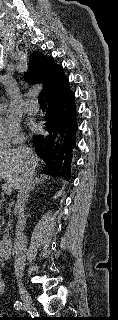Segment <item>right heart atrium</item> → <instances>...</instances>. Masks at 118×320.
Instances as JSON below:
<instances>
[{
    "label": "right heart atrium",
    "instance_id": "1",
    "mask_svg": "<svg viewBox=\"0 0 118 320\" xmlns=\"http://www.w3.org/2000/svg\"><path fill=\"white\" fill-rule=\"evenodd\" d=\"M23 134L17 123L0 118V148H7L22 142Z\"/></svg>",
    "mask_w": 118,
    "mask_h": 320
}]
</instances>
